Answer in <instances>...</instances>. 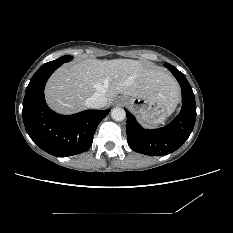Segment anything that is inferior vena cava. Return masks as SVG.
<instances>
[{
  "label": "inferior vena cava",
  "instance_id": "inferior-vena-cava-1",
  "mask_svg": "<svg viewBox=\"0 0 233 233\" xmlns=\"http://www.w3.org/2000/svg\"><path fill=\"white\" fill-rule=\"evenodd\" d=\"M85 105L94 109L101 108L107 105V98L103 93L96 92L86 100Z\"/></svg>",
  "mask_w": 233,
  "mask_h": 233
}]
</instances>
